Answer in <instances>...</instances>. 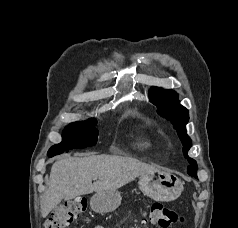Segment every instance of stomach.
Listing matches in <instances>:
<instances>
[{
    "instance_id": "1",
    "label": "stomach",
    "mask_w": 238,
    "mask_h": 228,
    "mask_svg": "<svg viewBox=\"0 0 238 228\" xmlns=\"http://www.w3.org/2000/svg\"><path fill=\"white\" fill-rule=\"evenodd\" d=\"M138 184L145 195L161 202L173 201L183 191V183L178 177L160 170L141 175ZM121 200L117 190L96 192L90 200V205L96 212L109 213L121 204Z\"/></svg>"
}]
</instances>
